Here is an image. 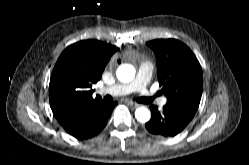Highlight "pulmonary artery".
I'll return each mask as SVG.
<instances>
[{"label":"pulmonary artery","mask_w":249,"mask_h":165,"mask_svg":"<svg viewBox=\"0 0 249 165\" xmlns=\"http://www.w3.org/2000/svg\"><path fill=\"white\" fill-rule=\"evenodd\" d=\"M152 72V66L148 63H141L135 79L128 83L117 84L108 88V91L117 95H126L132 92H138L143 98L155 100V95L147 88V84L150 80ZM167 99L162 97L158 99L160 105L166 104Z\"/></svg>","instance_id":"obj_1"}]
</instances>
